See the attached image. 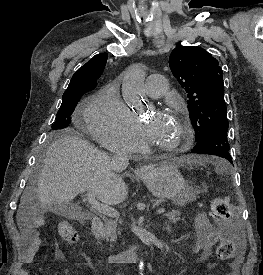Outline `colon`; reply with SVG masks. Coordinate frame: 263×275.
I'll return each instance as SVG.
<instances>
[{"label":"colon","mask_w":263,"mask_h":275,"mask_svg":"<svg viewBox=\"0 0 263 275\" xmlns=\"http://www.w3.org/2000/svg\"><path fill=\"white\" fill-rule=\"evenodd\" d=\"M211 216L218 222H226L231 217V205L227 198H215L211 205ZM58 233L60 237L67 243L73 244L78 240L76 229L68 222H60L58 224ZM214 244L217 245V257L225 262L233 259L235 254V245L232 240L226 237L215 236Z\"/></svg>","instance_id":"colon-1"}]
</instances>
